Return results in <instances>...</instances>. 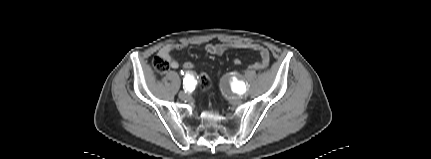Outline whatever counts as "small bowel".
I'll list each match as a JSON object with an SVG mask.
<instances>
[{"label":"small bowel","mask_w":431,"mask_h":159,"mask_svg":"<svg viewBox=\"0 0 431 159\" xmlns=\"http://www.w3.org/2000/svg\"><path fill=\"white\" fill-rule=\"evenodd\" d=\"M185 48V44H167L158 52V56L166 59L171 68L177 69L180 63L177 59L171 56V52L174 50H181ZM228 49H250L256 51L260 55V60L252 64L251 68L254 70L265 69L270 62V55L268 50L259 44L247 43V42H234V43H219V44H208L206 51L211 55H221ZM185 64V63H184ZM183 64V65H184Z\"/></svg>","instance_id":"obj_1"}]
</instances>
